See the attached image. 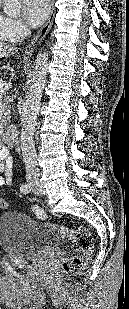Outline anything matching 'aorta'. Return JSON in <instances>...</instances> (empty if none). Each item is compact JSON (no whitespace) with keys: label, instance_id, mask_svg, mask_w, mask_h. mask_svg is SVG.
<instances>
[{"label":"aorta","instance_id":"1","mask_svg":"<svg viewBox=\"0 0 129 309\" xmlns=\"http://www.w3.org/2000/svg\"><path fill=\"white\" fill-rule=\"evenodd\" d=\"M4 3V12L8 16L20 14L23 0H4ZM48 59L49 54L46 50L38 53L20 110L21 149L25 158H36L34 131L47 78Z\"/></svg>","mask_w":129,"mask_h":309}]
</instances>
